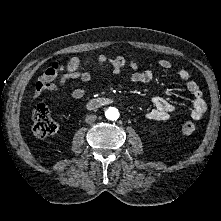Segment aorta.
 Segmentation results:
<instances>
[{"instance_id": "1", "label": "aorta", "mask_w": 221, "mask_h": 221, "mask_svg": "<svg viewBox=\"0 0 221 221\" xmlns=\"http://www.w3.org/2000/svg\"><path fill=\"white\" fill-rule=\"evenodd\" d=\"M105 116L108 120H117L119 117L118 109L115 107H109L105 111Z\"/></svg>"}]
</instances>
